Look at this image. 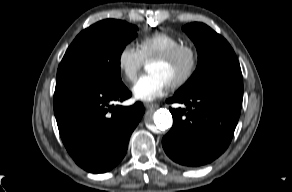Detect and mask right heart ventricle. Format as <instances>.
I'll list each match as a JSON object with an SVG mask.
<instances>
[{
  "label": "right heart ventricle",
  "instance_id": "e07e8e85",
  "mask_svg": "<svg viewBox=\"0 0 292 192\" xmlns=\"http://www.w3.org/2000/svg\"><path fill=\"white\" fill-rule=\"evenodd\" d=\"M182 43L180 37L167 31H155L143 36L137 43V49L144 61L159 55Z\"/></svg>",
  "mask_w": 292,
  "mask_h": 192
}]
</instances>
